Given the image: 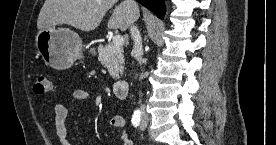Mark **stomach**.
<instances>
[{"label": "stomach", "mask_w": 276, "mask_h": 145, "mask_svg": "<svg viewBox=\"0 0 276 145\" xmlns=\"http://www.w3.org/2000/svg\"><path fill=\"white\" fill-rule=\"evenodd\" d=\"M36 46L44 62L56 70H66L83 58L82 39L67 28L39 30Z\"/></svg>", "instance_id": "0dacf381"}]
</instances>
